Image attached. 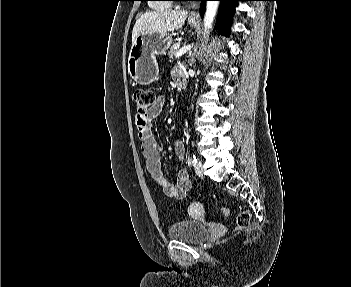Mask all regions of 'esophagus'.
I'll return each mask as SVG.
<instances>
[{"label":"esophagus","instance_id":"34e87169","mask_svg":"<svg viewBox=\"0 0 351 287\" xmlns=\"http://www.w3.org/2000/svg\"><path fill=\"white\" fill-rule=\"evenodd\" d=\"M197 17H198V14H197L196 11H192V13H191L190 16H189V18H191V19H195V18H197Z\"/></svg>","mask_w":351,"mask_h":287}]
</instances>
